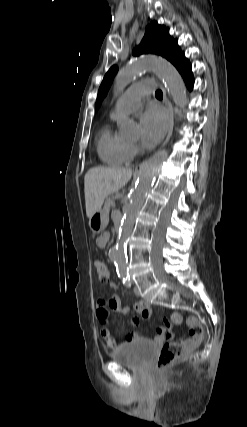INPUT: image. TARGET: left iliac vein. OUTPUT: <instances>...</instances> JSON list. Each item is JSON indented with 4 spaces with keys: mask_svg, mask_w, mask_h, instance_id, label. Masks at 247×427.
<instances>
[{
    "mask_svg": "<svg viewBox=\"0 0 247 427\" xmlns=\"http://www.w3.org/2000/svg\"><path fill=\"white\" fill-rule=\"evenodd\" d=\"M133 290H134L135 295L140 296V290L136 285H134Z\"/></svg>",
    "mask_w": 247,
    "mask_h": 427,
    "instance_id": "left-iliac-vein-1",
    "label": "left iliac vein"
}]
</instances>
